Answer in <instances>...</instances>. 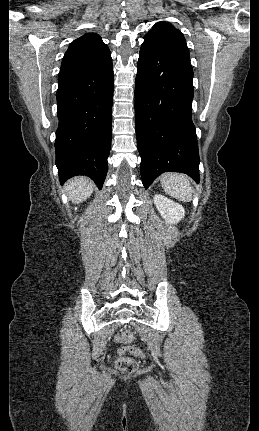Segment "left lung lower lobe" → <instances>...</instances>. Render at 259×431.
Here are the masks:
<instances>
[{
    "label": "left lung lower lobe",
    "mask_w": 259,
    "mask_h": 431,
    "mask_svg": "<svg viewBox=\"0 0 259 431\" xmlns=\"http://www.w3.org/2000/svg\"><path fill=\"white\" fill-rule=\"evenodd\" d=\"M192 80L190 61L144 41L135 84V128L146 189L167 171L199 182Z\"/></svg>",
    "instance_id": "1"
}]
</instances>
